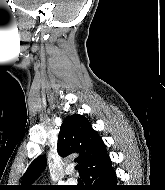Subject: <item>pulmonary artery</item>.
Listing matches in <instances>:
<instances>
[{"label":"pulmonary artery","mask_w":165,"mask_h":190,"mask_svg":"<svg viewBox=\"0 0 165 190\" xmlns=\"http://www.w3.org/2000/svg\"><path fill=\"white\" fill-rule=\"evenodd\" d=\"M68 174H71V171H69ZM75 182H76V180L72 177L68 178V180H67V183H69V184H74Z\"/></svg>","instance_id":"obj_1"}]
</instances>
